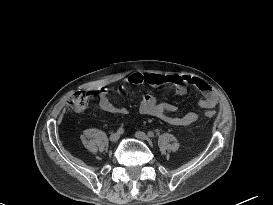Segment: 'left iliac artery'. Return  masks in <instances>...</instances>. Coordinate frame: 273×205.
Wrapping results in <instances>:
<instances>
[{"label":"left iliac artery","instance_id":"obj_1","mask_svg":"<svg viewBox=\"0 0 273 205\" xmlns=\"http://www.w3.org/2000/svg\"><path fill=\"white\" fill-rule=\"evenodd\" d=\"M148 136H149L150 138H154V137H155V134H154L152 131H149V132H148Z\"/></svg>","mask_w":273,"mask_h":205}]
</instances>
